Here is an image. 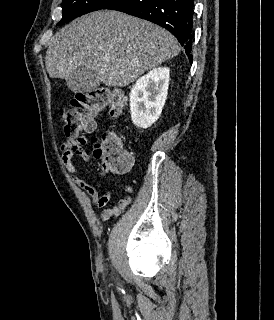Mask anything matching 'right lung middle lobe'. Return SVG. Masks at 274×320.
<instances>
[{"instance_id": "dd1d6c3e", "label": "right lung middle lobe", "mask_w": 274, "mask_h": 320, "mask_svg": "<svg viewBox=\"0 0 274 320\" xmlns=\"http://www.w3.org/2000/svg\"><path fill=\"white\" fill-rule=\"evenodd\" d=\"M113 1L114 0H63V17L57 25H63L76 17L103 9Z\"/></svg>"}]
</instances>
